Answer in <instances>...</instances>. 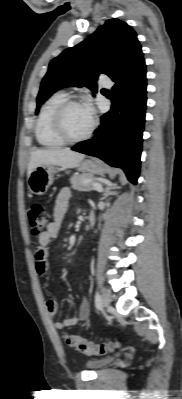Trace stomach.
Masks as SVG:
<instances>
[{"instance_id": "0dacf381", "label": "stomach", "mask_w": 182, "mask_h": 399, "mask_svg": "<svg viewBox=\"0 0 182 399\" xmlns=\"http://www.w3.org/2000/svg\"><path fill=\"white\" fill-rule=\"evenodd\" d=\"M64 170V168L51 165L42 164L37 166L28 178V188L32 194L43 195L52 185L54 175ZM78 170L90 175H103L106 173V167L97 159H85L78 165Z\"/></svg>"}]
</instances>
